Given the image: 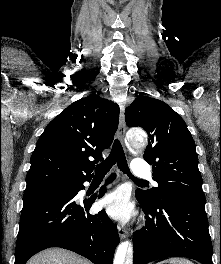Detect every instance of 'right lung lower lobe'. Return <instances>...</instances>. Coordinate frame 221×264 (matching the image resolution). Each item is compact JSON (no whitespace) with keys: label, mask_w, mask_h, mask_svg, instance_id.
<instances>
[{"label":"right lung lower lobe","mask_w":221,"mask_h":264,"mask_svg":"<svg viewBox=\"0 0 221 264\" xmlns=\"http://www.w3.org/2000/svg\"><path fill=\"white\" fill-rule=\"evenodd\" d=\"M114 179L111 176L107 183ZM89 181V180H87ZM84 182L72 194H38L23 198L15 264H25L37 252L50 247L74 251L94 264H112L120 242L117 227L104 211L89 213L96 196L77 201ZM100 189L99 197L105 192Z\"/></svg>","instance_id":"1"}]
</instances>
